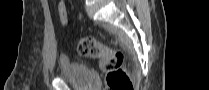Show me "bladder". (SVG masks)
Masks as SVG:
<instances>
[{
  "label": "bladder",
  "instance_id": "31cf9c89",
  "mask_svg": "<svg viewBox=\"0 0 209 90\" xmlns=\"http://www.w3.org/2000/svg\"><path fill=\"white\" fill-rule=\"evenodd\" d=\"M58 69V77L77 88L85 89L96 86L91 69L81 62L61 56L58 60Z\"/></svg>",
  "mask_w": 209,
  "mask_h": 90
}]
</instances>
